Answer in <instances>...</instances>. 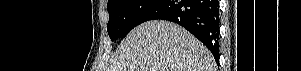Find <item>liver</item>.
Instances as JSON below:
<instances>
[{
  "label": "liver",
  "instance_id": "liver-1",
  "mask_svg": "<svg viewBox=\"0 0 301 71\" xmlns=\"http://www.w3.org/2000/svg\"><path fill=\"white\" fill-rule=\"evenodd\" d=\"M106 71H216L211 52L181 26L149 21L134 28Z\"/></svg>",
  "mask_w": 301,
  "mask_h": 71
}]
</instances>
